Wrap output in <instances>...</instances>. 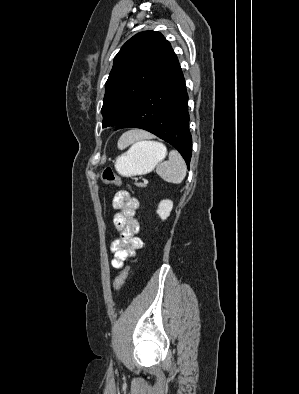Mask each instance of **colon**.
<instances>
[{
	"label": "colon",
	"instance_id": "obj_1",
	"mask_svg": "<svg viewBox=\"0 0 299 394\" xmlns=\"http://www.w3.org/2000/svg\"><path fill=\"white\" fill-rule=\"evenodd\" d=\"M102 181L108 185H121L122 180L120 176L114 172L111 168H105L102 171ZM129 267H125L120 271V273L115 278L113 289L114 291H118L125 282V279L128 275Z\"/></svg>",
	"mask_w": 299,
	"mask_h": 394
}]
</instances>
